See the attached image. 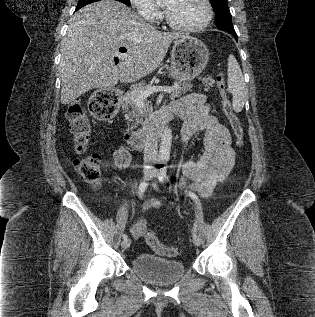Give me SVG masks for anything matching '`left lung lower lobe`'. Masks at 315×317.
I'll list each match as a JSON object with an SVG mask.
<instances>
[{"instance_id":"left-lung-lower-lobe-1","label":"left lung lower lobe","mask_w":315,"mask_h":317,"mask_svg":"<svg viewBox=\"0 0 315 317\" xmlns=\"http://www.w3.org/2000/svg\"><path fill=\"white\" fill-rule=\"evenodd\" d=\"M230 34H232V35L235 37L236 41H238V38H237V34H236V33H230Z\"/></svg>"}]
</instances>
